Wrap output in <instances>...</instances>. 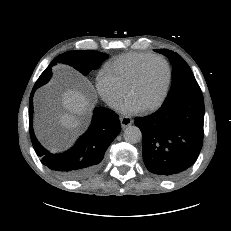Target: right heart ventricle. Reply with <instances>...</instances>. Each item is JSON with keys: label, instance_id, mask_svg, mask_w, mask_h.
I'll return each instance as SVG.
<instances>
[{"label": "right heart ventricle", "instance_id": "e07e8e85", "mask_svg": "<svg viewBox=\"0 0 231 231\" xmlns=\"http://www.w3.org/2000/svg\"><path fill=\"white\" fill-rule=\"evenodd\" d=\"M150 56L148 53H126L108 62L103 70L126 90L138 66Z\"/></svg>", "mask_w": 231, "mask_h": 231}]
</instances>
